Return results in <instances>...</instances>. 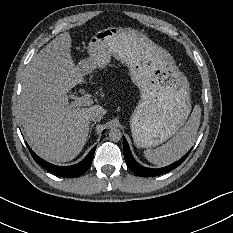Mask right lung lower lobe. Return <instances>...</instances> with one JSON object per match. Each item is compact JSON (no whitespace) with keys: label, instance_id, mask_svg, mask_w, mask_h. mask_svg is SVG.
Here are the masks:
<instances>
[{"label":"right lung lower lobe","instance_id":"obj_1","mask_svg":"<svg viewBox=\"0 0 233 233\" xmlns=\"http://www.w3.org/2000/svg\"><path fill=\"white\" fill-rule=\"evenodd\" d=\"M95 148L96 146L88 153V155L85 157L84 160L72 166H56V165L50 164L47 161L41 159L39 156H37L30 148H29V151L31 152V155L33 159L36 161V163L44 167L48 171L58 176L75 178V177L82 175L90 167L91 162L93 160Z\"/></svg>","mask_w":233,"mask_h":233}]
</instances>
